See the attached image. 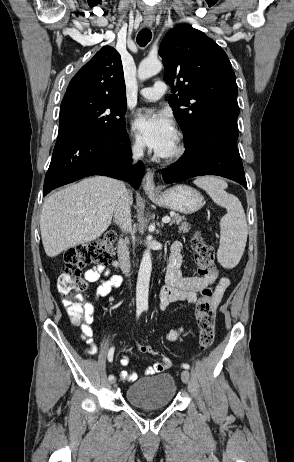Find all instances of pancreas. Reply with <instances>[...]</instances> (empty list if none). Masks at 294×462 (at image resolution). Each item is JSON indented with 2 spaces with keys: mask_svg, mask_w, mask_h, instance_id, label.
<instances>
[{
  "mask_svg": "<svg viewBox=\"0 0 294 462\" xmlns=\"http://www.w3.org/2000/svg\"><path fill=\"white\" fill-rule=\"evenodd\" d=\"M182 219V217H180L179 215H177L175 217V219L173 220V222L177 221V220H180ZM179 232H183V233H186L190 230V225L187 223V222H182L181 224H179Z\"/></svg>",
  "mask_w": 294,
  "mask_h": 462,
  "instance_id": "pancreas-1",
  "label": "pancreas"
}]
</instances>
